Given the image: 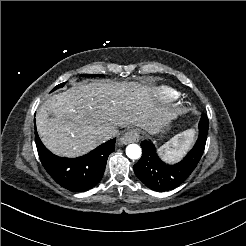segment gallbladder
Returning <instances> with one entry per match:
<instances>
[{
    "label": "gallbladder",
    "instance_id": "obj_1",
    "mask_svg": "<svg viewBox=\"0 0 246 246\" xmlns=\"http://www.w3.org/2000/svg\"><path fill=\"white\" fill-rule=\"evenodd\" d=\"M49 117H52V114H49Z\"/></svg>",
    "mask_w": 246,
    "mask_h": 246
}]
</instances>
